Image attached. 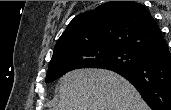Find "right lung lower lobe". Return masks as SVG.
Masks as SVG:
<instances>
[{
    "label": "right lung lower lobe",
    "mask_w": 171,
    "mask_h": 110,
    "mask_svg": "<svg viewBox=\"0 0 171 110\" xmlns=\"http://www.w3.org/2000/svg\"><path fill=\"white\" fill-rule=\"evenodd\" d=\"M141 54L138 64L110 70L130 81L152 110H171V54L168 44L164 41Z\"/></svg>",
    "instance_id": "right-lung-lower-lobe-1"
}]
</instances>
